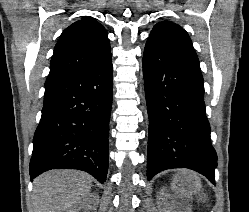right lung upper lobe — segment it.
Instances as JSON below:
<instances>
[{"label":"right lung upper lobe","instance_id":"cb5924a9","mask_svg":"<svg viewBox=\"0 0 249 212\" xmlns=\"http://www.w3.org/2000/svg\"><path fill=\"white\" fill-rule=\"evenodd\" d=\"M111 57L106 29L93 18L71 24L61 34L45 84L90 70Z\"/></svg>","mask_w":249,"mask_h":212}]
</instances>
